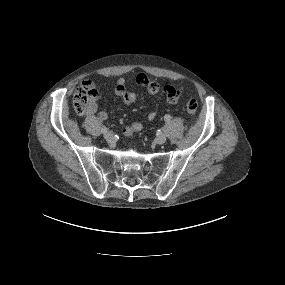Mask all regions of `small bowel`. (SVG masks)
Listing matches in <instances>:
<instances>
[{"label": "small bowel", "instance_id": "1", "mask_svg": "<svg viewBox=\"0 0 285 285\" xmlns=\"http://www.w3.org/2000/svg\"><path fill=\"white\" fill-rule=\"evenodd\" d=\"M137 83L141 86L145 87L149 94L156 95L160 91H162L166 97V106H173L178 103L182 93H183V86H171L167 85L164 86L162 89L160 88L159 84L151 77L146 74H139L136 79ZM114 94L117 97H120L124 104L131 105L137 102L138 97L133 92L130 91L127 87V82L124 78H120L116 86L114 88ZM100 99V94L97 93L96 96L92 98L89 103V106L86 110L88 115H96L98 120L101 122H105L108 119V114L105 111H99V104L98 101ZM157 117V113L155 111H151L147 115V119L149 121L155 120ZM133 131H141L143 129V124L141 122H134L131 125Z\"/></svg>", "mask_w": 285, "mask_h": 285}]
</instances>
